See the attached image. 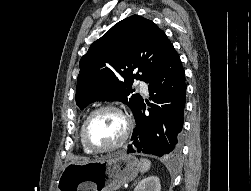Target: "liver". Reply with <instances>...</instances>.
Wrapping results in <instances>:
<instances>
[{
	"label": "liver",
	"mask_w": 251,
	"mask_h": 191,
	"mask_svg": "<svg viewBox=\"0 0 251 191\" xmlns=\"http://www.w3.org/2000/svg\"><path fill=\"white\" fill-rule=\"evenodd\" d=\"M85 161H88L87 157H86Z\"/></svg>",
	"instance_id": "1"
}]
</instances>
